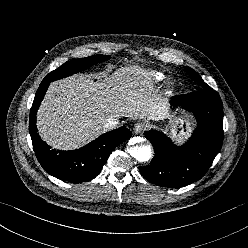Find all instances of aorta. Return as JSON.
I'll return each instance as SVG.
<instances>
[{
  "label": "aorta",
  "mask_w": 248,
  "mask_h": 248,
  "mask_svg": "<svg viewBox=\"0 0 248 248\" xmlns=\"http://www.w3.org/2000/svg\"><path fill=\"white\" fill-rule=\"evenodd\" d=\"M134 142H141V138H134ZM129 154L138 162H147L152 156V149L149 145H135L129 148Z\"/></svg>",
  "instance_id": "762f6f07"
}]
</instances>
